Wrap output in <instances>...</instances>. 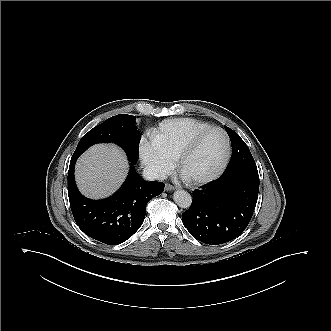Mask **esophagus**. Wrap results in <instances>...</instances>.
<instances>
[{"label":"esophagus","instance_id":"34e87169","mask_svg":"<svg viewBox=\"0 0 331 331\" xmlns=\"http://www.w3.org/2000/svg\"><path fill=\"white\" fill-rule=\"evenodd\" d=\"M177 187L176 186H173V185H171V184H166L165 185V190L166 191H172V190H175Z\"/></svg>","mask_w":331,"mask_h":331}]
</instances>
